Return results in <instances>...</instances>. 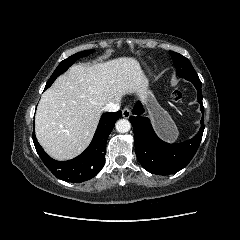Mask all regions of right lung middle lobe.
<instances>
[{"mask_svg": "<svg viewBox=\"0 0 240 240\" xmlns=\"http://www.w3.org/2000/svg\"><path fill=\"white\" fill-rule=\"evenodd\" d=\"M93 50H87V51H82V52H78L70 57H68L67 59L63 60L58 67L55 69V71L53 72V74L51 75L50 79L48 80L45 89H47L48 87L51 86V84L54 82V80L63 72H65L76 60H78L79 58L85 57L87 55H89L90 53H92Z\"/></svg>", "mask_w": 240, "mask_h": 240, "instance_id": "right-lung-middle-lobe-1", "label": "right lung middle lobe"}]
</instances>
